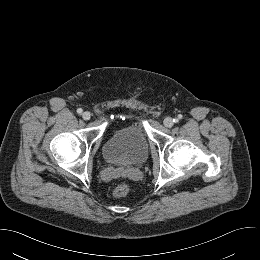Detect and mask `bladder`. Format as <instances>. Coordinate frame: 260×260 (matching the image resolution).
<instances>
[{
	"label": "bladder",
	"instance_id": "bladder-1",
	"mask_svg": "<svg viewBox=\"0 0 260 260\" xmlns=\"http://www.w3.org/2000/svg\"><path fill=\"white\" fill-rule=\"evenodd\" d=\"M148 152V137L140 122H133L128 127L112 133L102 147L103 159L111 165L121 167L142 163Z\"/></svg>",
	"mask_w": 260,
	"mask_h": 260
}]
</instances>
